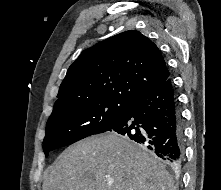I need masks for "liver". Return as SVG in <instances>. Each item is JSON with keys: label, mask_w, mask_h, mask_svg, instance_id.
<instances>
[{"label": "liver", "mask_w": 221, "mask_h": 190, "mask_svg": "<svg viewBox=\"0 0 221 190\" xmlns=\"http://www.w3.org/2000/svg\"><path fill=\"white\" fill-rule=\"evenodd\" d=\"M112 178V184L107 179ZM42 190H175L174 180L145 149L116 133L65 149L46 170Z\"/></svg>", "instance_id": "6515ba94"}]
</instances>
